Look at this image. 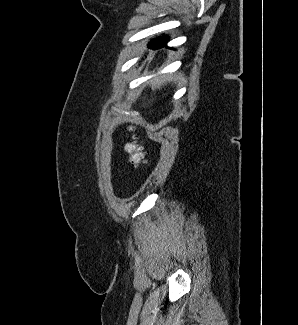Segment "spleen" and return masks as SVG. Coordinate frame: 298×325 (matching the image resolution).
<instances>
[{"instance_id":"spleen-1","label":"spleen","mask_w":298,"mask_h":325,"mask_svg":"<svg viewBox=\"0 0 298 325\" xmlns=\"http://www.w3.org/2000/svg\"><path fill=\"white\" fill-rule=\"evenodd\" d=\"M161 84L162 82H160V78H158V76H156V78H152L151 86L153 90H155V88H161Z\"/></svg>"}]
</instances>
